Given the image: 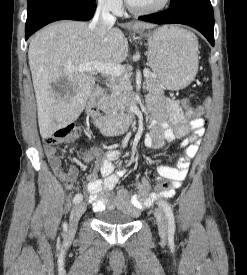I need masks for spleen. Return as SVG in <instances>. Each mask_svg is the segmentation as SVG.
Instances as JSON below:
<instances>
[{"label":"spleen","mask_w":247,"mask_h":275,"mask_svg":"<svg viewBox=\"0 0 247 275\" xmlns=\"http://www.w3.org/2000/svg\"><path fill=\"white\" fill-rule=\"evenodd\" d=\"M189 36H190V38L192 39L195 48L197 49V47H198V42H197L196 37H195L192 33H191Z\"/></svg>","instance_id":"1"}]
</instances>
